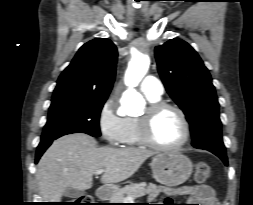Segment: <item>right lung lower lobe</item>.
<instances>
[{"instance_id":"98d812e1","label":"right lung lower lobe","mask_w":253,"mask_h":205,"mask_svg":"<svg viewBox=\"0 0 253 205\" xmlns=\"http://www.w3.org/2000/svg\"><path fill=\"white\" fill-rule=\"evenodd\" d=\"M57 138H59V137L41 140L40 144L37 147V153H36V159H35L36 163L39 161L40 157L45 152V150L51 145L53 140H55Z\"/></svg>"}]
</instances>
